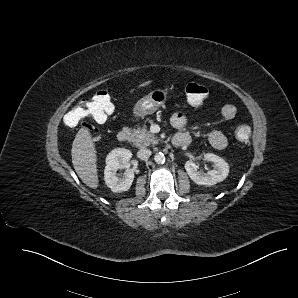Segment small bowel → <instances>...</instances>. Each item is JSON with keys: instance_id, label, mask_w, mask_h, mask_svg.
I'll return each mask as SVG.
<instances>
[{"instance_id": "c3829d8e", "label": "small bowel", "mask_w": 298, "mask_h": 298, "mask_svg": "<svg viewBox=\"0 0 298 298\" xmlns=\"http://www.w3.org/2000/svg\"><path fill=\"white\" fill-rule=\"evenodd\" d=\"M221 115L224 119H233L236 115V108L231 104H226L221 109ZM171 125L176 129H183L187 125V119L182 113H174L170 118ZM209 142L213 148L221 150L227 147V137L218 130H214L209 135Z\"/></svg>"}]
</instances>
